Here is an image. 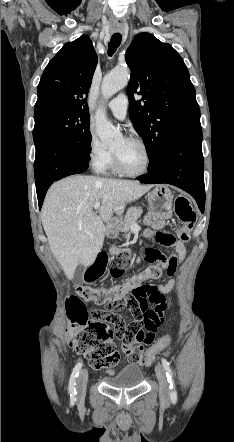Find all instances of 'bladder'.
Returning a JSON list of instances; mask_svg holds the SVG:
<instances>
[{
	"label": "bladder",
	"mask_w": 234,
	"mask_h": 442,
	"mask_svg": "<svg viewBox=\"0 0 234 442\" xmlns=\"http://www.w3.org/2000/svg\"><path fill=\"white\" fill-rule=\"evenodd\" d=\"M144 377L142 369L134 364L126 365L115 376L106 377L105 383L114 388H132L138 386Z\"/></svg>",
	"instance_id": "31cf9c89"
}]
</instances>
